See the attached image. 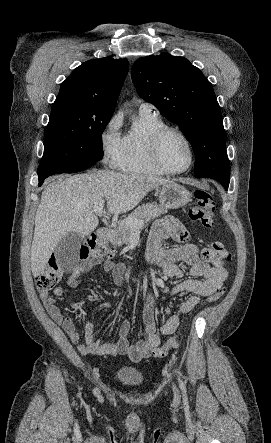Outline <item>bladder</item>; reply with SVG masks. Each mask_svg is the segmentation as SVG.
<instances>
[{
    "instance_id": "obj_1",
    "label": "bladder",
    "mask_w": 271,
    "mask_h": 443,
    "mask_svg": "<svg viewBox=\"0 0 271 443\" xmlns=\"http://www.w3.org/2000/svg\"><path fill=\"white\" fill-rule=\"evenodd\" d=\"M115 378L127 386H140L144 382L143 372L134 366H122L115 371Z\"/></svg>"
}]
</instances>
